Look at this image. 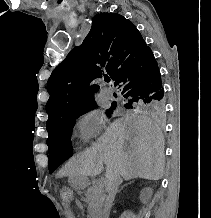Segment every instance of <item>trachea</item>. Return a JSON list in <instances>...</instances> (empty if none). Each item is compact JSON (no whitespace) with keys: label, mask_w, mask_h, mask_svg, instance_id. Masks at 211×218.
<instances>
[{"label":"trachea","mask_w":211,"mask_h":218,"mask_svg":"<svg viewBox=\"0 0 211 218\" xmlns=\"http://www.w3.org/2000/svg\"><path fill=\"white\" fill-rule=\"evenodd\" d=\"M104 79H105L106 82H109V81H110V78H109V77H105Z\"/></svg>","instance_id":"trachea-1"}]
</instances>
